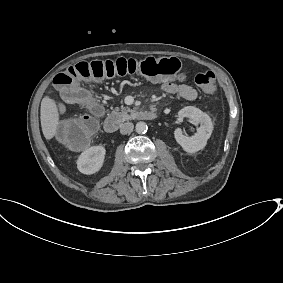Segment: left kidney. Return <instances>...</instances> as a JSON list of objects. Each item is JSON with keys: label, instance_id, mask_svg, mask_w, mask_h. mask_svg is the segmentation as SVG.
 <instances>
[{"label": "left kidney", "instance_id": "left-kidney-1", "mask_svg": "<svg viewBox=\"0 0 283 283\" xmlns=\"http://www.w3.org/2000/svg\"><path fill=\"white\" fill-rule=\"evenodd\" d=\"M179 118H189L195 125L200 124L195 135L188 137L183 135L180 128L175 129L174 136L176 141L182 146V148L189 153H195L203 149L207 140L210 138L213 131V124L211 118L200 109L194 106H187L182 108L178 112Z\"/></svg>", "mask_w": 283, "mask_h": 283}]
</instances>
